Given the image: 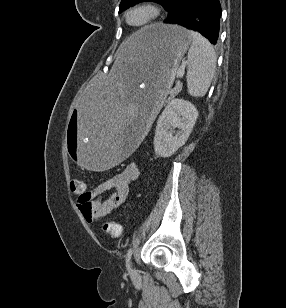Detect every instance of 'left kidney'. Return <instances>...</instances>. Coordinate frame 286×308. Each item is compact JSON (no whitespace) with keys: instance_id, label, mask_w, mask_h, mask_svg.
Masks as SVG:
<instances>
[{"instance_id":"5707ae66","label":"left kidney","mask_w":286,"mask_h":308,"mask_svg":"<svg viewBox=\"0 0 286 308\" xmlns=\"http://www.w3.org/2000/svg\"><path fill=\"white\" fill-rule=\"evenodd\" d=\"M198 117L189 101L174 98L160 115L155 130L154 150L160 157H170L187 141ZM174 128L179 131L173 135Z\"/></svg>"}]
</instances>
